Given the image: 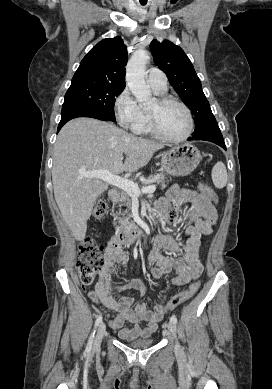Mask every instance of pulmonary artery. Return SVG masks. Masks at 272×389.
Masks as SVG:
<instances>
[{
    "label": "pulmonary artery",
    "mask_w": 272,
    "mask_h": 389,
    "mask_svg": "<svg viewBox=\"0 0 272 389\" xmlns=\"http://www.w3.org/2000/svg\"><path fill=\"white\" fill-rule=\"evenodd\" d=\"M147 81L153 91L163 93L167 91V77L157 68L148 70Z\"/></svg>",
    "instance_id": "e3ab8cb5"
}]
</instances>
